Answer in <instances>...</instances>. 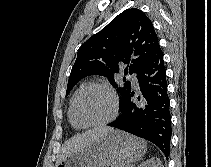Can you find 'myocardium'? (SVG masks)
I'll return each instance as SVG.
<instances>
[{
    "mask_svg": "<svg viewBox=\"0 0 211 167\" xmlns=\"http://www.w3.org/2000/svg\"><path fill=\"white\" fill-rule=\"evenodd\" d=\"M90 88H101L107 91L112 98L113 110H112L111 115L103 121L93 122V123H84L80 121L76 116V113H75L76 103H77L78 98L81 96V94ZM118 111H119V99L116 92L112 89V87H110L108 84L103 83V82H89L83 85L74 95L72 103H71L70 116H71L72 121L79 127H82V128L100 127V126H104L111 123L117 117Z\"/></svg>",
    "mask_w": 211,
    "mask_h": 167,
    "instance_id": "1",
    "label": "myocardium"
}]
</instances>
